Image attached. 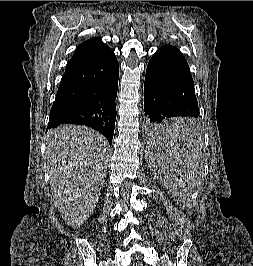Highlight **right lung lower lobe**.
Instances as JSON below:
<instances>
[{
	"label": "right lung lower lobe",
	"mask_w": 253,
	"mask_h": 266,
	"mask_svg": "<svg viewBox=\"0 0 253 266\" xmlns=\"http://www.w3.org/2000/svg\"><path fill=\"white\" fill-rule=\"evenodd\" d=\"M119 64L107 48L66 68L50 111L48 129L81 124L98 130L111 145L116 120Z\"/></svg>",
	"instance_id": "98d812e1"
}]
</instances>
